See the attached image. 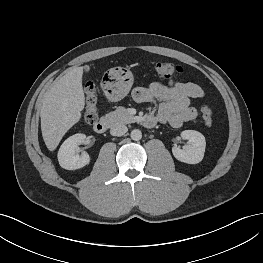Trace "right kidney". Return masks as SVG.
Masks as SVG:
<instances>
[{"label":"right kidney","instance_id":"ca27d5eb","mask_svg":"<svg viewBox=\"0 0 263 263\" xmlns=\"http://www.w3.org/2000/svg\"><path fill=\"white\" fill-rule=\"evenodd\" d=\"M85 140V134L77 133L63 142L58 151V161L62 168L76 170L89 164L90 156L88 153L83 152L81 156L76 154L79 152V145Z\"/></svg>","mask_w":263,"mask_h":263}]
</instances>
